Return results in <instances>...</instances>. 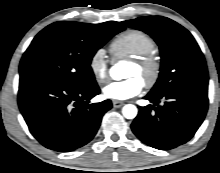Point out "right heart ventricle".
<instances>
[{
  "label": "right heart ventricle",
  "instance_id": "obj_1",
  "mask_svg": "<svg viewBox=\"0 0 220 173\" xmlns=\"http://www.w3.org/2000/svg\"><path fill=\"white\" fill-rule=\"evenodd\" d=\"M155 41L139 30H127L118 35L110 44L115 59L136 58L154 52Z\"/></svg>",
  "mask_w": 220,
  "mask_h": 173
}]
</instances>
